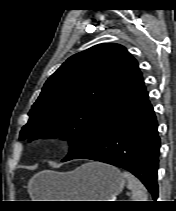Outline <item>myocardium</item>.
<instances>
[{"label":"myocardium","mask_w":176,"mask_h":211,"mask_svg":"<svg viewBox=\"0 0 176 211\" xmlns=\"http://www.w3.org/2000/svg\"><path fill=\"white\" fill-rule=\"evenodd\" d=\"M61 139L59 137H49L44 139V144L46 146H55L60 144Z\"/></svg>","instance_id":"obj_1"}]
</instances>
